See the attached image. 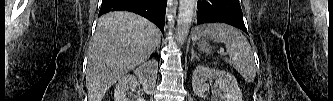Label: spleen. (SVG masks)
Returning <instances> with one entry per match:
<instances>
[{
  "label": "spleen",
  "instance_id": "3e777b00",
  "mask_svg": "<svg viewBox=\"0 0 333 101\" xmlns=\"http://www.w3.org/2000/svg\"><path fill=\"white\" fill-rule=\"evenodd\" d=\"M201 36L224 43L229 55L226 62L230 63L248 83L254 81L256 66L253 51L240 31L221 23L207 24L195 29L192 39L197 40Z\"/></svg>",
  "mask_w": 333,
  "mask_h": 101
}]
</instances>
